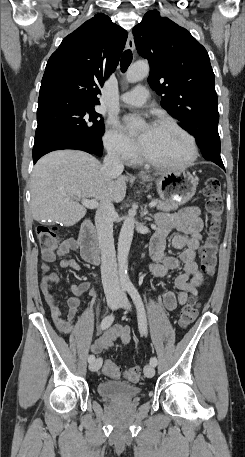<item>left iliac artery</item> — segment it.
<instances>
[{"mask_svg": "<svg viewBox=\"0 0 245 457\" xmlns=\"http://www.w3.org/2000/svg\"><path fill=\"white\" fill-rule=\"evenodd\" d=\"M126 289L131 296L136 309H137V314H138V325H139V331L141 334H146L147 332V319H146V312L144 308L143 301L141 299V296L138 292V290L135 288L134 285H128L126 286ZM150 364L153 366L157 365V358L156 357H151L150 359Z\"/></svg>", "mask_w": 245, "mask_h": 457, "instance_id": "obj_1", "label": "left iliac artery"}]
</instances>
